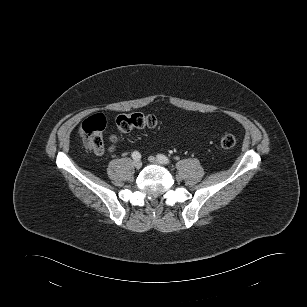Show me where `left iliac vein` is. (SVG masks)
I'll use <instances>...</instances> for the list:
<instances>
[{
    "mask_svg": "<svg viewBox=\"0 0 307 307\" xmlns=\"http://www.w3.org/2000/svg\"><path fill=\"white\" fill-rule=\"evenodd\" d=\"M148 160L151 162V163H154V164H162L156 157L154 156H150L148 158Z\"/></svg>",
    "mask_w": 307,
    "mask_h": 307,
    "instance_id": "1",
    "label": "left iliac vein"
}]
</instances>
